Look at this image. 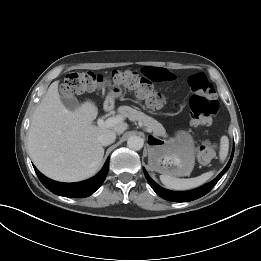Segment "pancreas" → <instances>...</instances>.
<instances>
[{"mask_svg":"<svg viewBox=\"0 0 261 261\" xmlns=\"http://www.w3.org/2000/svg\"><path fill=\"white\" fill-rule=\"evenodd\" d=\"M118 111L123 116L128 117L131 121H142L144 126L152 130L157 135L164 133V128L160 123L141 111H137L129 106H121Z\"/></svg>","mask_w":261,"mask_h":261,"instance_id":"pancreas-1","label":"pancreas"}]
</instances>
